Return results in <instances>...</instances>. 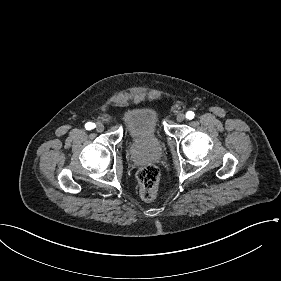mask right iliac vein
I'll return each instance as SVG.
<instances>
[{
	"label": "right iliac vein",
	"instance_id": "right-iliac-vein-1",
	"mask_svg": "<svg viewBox=\"0 0 281 281\" xmlns=\"http://www.w3.org/2000/svg\"><path fill=\"white\" fill-rule=\"evenodd\" d=\"M96 130L102 132L104 130V125L102 123H97Z\"/></svg>",
	"mask_w": 281,
	"mask_h": 281
}]
</instances>
